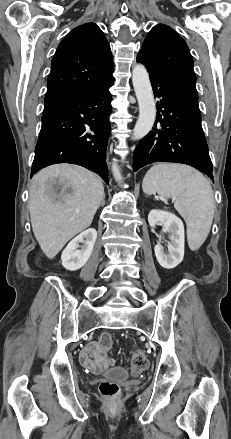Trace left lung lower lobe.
I'll list each match as a JSON object with an SVG mask.
<instances>
[{
	"label": "left lung lower lobe",
	"mask_w": 231,
	"mask_h": 439,
	"mask_svg": "<svg viewBox=\"0 0 231 439\" xmlns=\"http://www.w3.org/2000/svg\"><path fill=\"white\" fill-rule=\"evenodd\" d=\"M137 62L147 68L154 95L159 100L155 127L134 151V172L154 162H175L190 165L213 180L198 100L145 57L138 55Z\"/></svg>",
	"instance_id": "1"
}]
</instances>
